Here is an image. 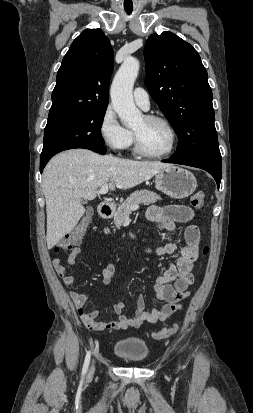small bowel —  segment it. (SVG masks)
Here are the masks:
<instances>
[{
	"instance_id": "small-bowel-1",
	"label": "small bowel",
	"mask_w": 253,
	"mask_h": 413,
	"mask_svg": "<svg viewBox=\"0 0 253 413\" xmlns=\"http://www.w3.org/2000/svg\"><path fill=\"white\" fill-rule=\"evenodd\" d=\"M146 217L149 221L161 224L168 232H174L176 223L185 224L184 239L186 245L180 250V256L175 263L168 265L166 270L157 277L154 284L156 298L162 302L159 308L151 310L145 309V297L140 295L137 299L136 310L132 316L124 314L125 304L118 302L112 304V309L118 318L114 321L106 322L98 320L99 311H85L84 306L89 300V296L76 291L70 292V298L84 325L93 331L104 330H124L127 328H139L144 323H156L164 321L182 308L181 300L189 296V286L194 283L192 273L194 262L198 258L200 231L192 222L194 218L193 210L184 205H168L148 207ZM149 254L165 255L172 254L177 250V244L170 242L156 249L146 248ZM80 247H74L69 256L68 264L73 266L77 256L80 254ZM52 266L61 278L65 286H72L76 282L73 275H67L66 267L60 258L52 260ZM115 273V266L108 263L102 270V281L108 284Z\"/></svg>"
}]
</instances>
